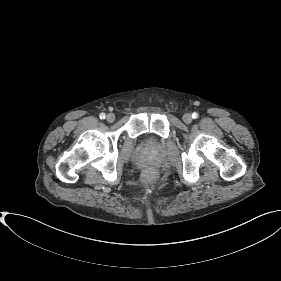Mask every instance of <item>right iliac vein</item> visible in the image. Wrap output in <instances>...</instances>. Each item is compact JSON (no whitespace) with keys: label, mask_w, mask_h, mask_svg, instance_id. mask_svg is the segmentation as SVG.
I'll return each mask as SVG.
<instances>
[{"label":"right iliac vein","mask_w":281,"mask_h":281,"mask_svg":"<svg viewBox=\"0 0 281 281\" xmlns=\"http://www.w3.org/2000/svg\"><path fill=\"white\" fill-rule=\"evenodd\" d=\"M106 119H107L108 122H113L115 120V115L113 113H109L106 116Z\"/></svg>","instance_id":"obj_1"}]
</instances>
